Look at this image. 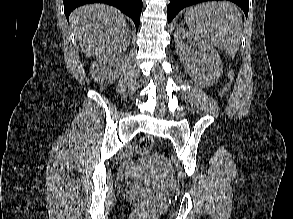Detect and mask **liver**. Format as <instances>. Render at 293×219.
Segmentation results:
<instances>
[{
	"label": "liver",
	"instance_id": "obj_1",
	"mask_svg": "<svg viewBox=\"0 0 293 219\" xmlns=\"http://www.w3.org/2000/svg\"><path fill=\"white\" fill-rule=\"evenodd\" d=\"M81 51L87 56L120 55L130 43L125 16L105 4H90L70 15Z\"/></svg>",
	"mask_w": 293,
	"mask_h": 219
}]
</instances>
